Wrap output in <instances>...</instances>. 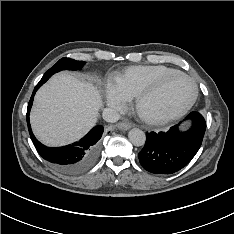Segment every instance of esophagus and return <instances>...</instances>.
Listing matches in <instances>:
<instances>
[{
    "label": "esophagus",
    "mask_w": 234,
    "mask_h": 234,
    "mask_svg": "<svg viewBox=\"0 0 234 234\" xmlns=\"http://www.w3.org/2000/svg\"><path fill=\"white\" fill-rule=\"evenodd\" d=\"M117 127H118V129H120L122 131H126V130H129L132 127V125H131V123H129L127 121H123V122H119L117 124Z\"/></svg>",
    "instance_id": "34e87169"
}]
</instances>
